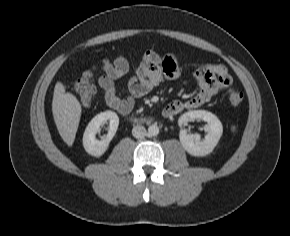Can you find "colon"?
Segmentation results:
<instances>
[{
	"instance_id": "obj_1",
	"label": "colon",
	"mask_w": 290,
	"mask_h": 236,
	"mask_svg": "<svg viewBox=\"0 0 290 236\" xmlns=\"http://www.w3.org/2000/svg\"><path fill=\"white\" fill-rule=\"evenodd\" d=\"M110 62V61H107ZM95 76L94 69L85 71L76 82L75 88L78 98L82 105L87 106L91 104L96 92L93 80ZM243 93L237 90L229 92V100L232 104L237 105L243 101Z\"/></svg>"
}]
</instances>
